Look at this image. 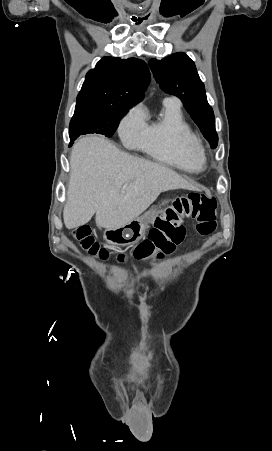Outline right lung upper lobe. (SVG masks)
<instances>
[{"instance_id":"right-lung-upper-lobe-1","label":"right lung upper lobe","mask_w":272,"mask_h":451,"mask_svg":"<svg viewBox=\"0 0 272 451\" xmlns=\"http://www.w3.org/2000/svg\"><path fill=\"white\" fill-rule=\"evenodd\" d=\"M149 82L150 72L144 61L103 57L86 74L76 105L132 107L143 100Z\"/></svg>"}]
</instances>
